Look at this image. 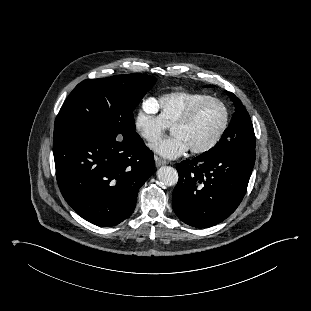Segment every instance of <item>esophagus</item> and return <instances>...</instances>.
<instances>
[{"instance_id":"34e87169","label":"esophagus","mask_w":311,"mask_h":311,"mask_svg":"<svg viewBox=\"0 0 311 311\" xmlns=\"http://www.w3.org/2000/svg\"><path fill=\"white\" fill-rule=\"evenodd\" d=\"M167 163L168 162L166 160H163V159L155 156V164H156L157 167H160V166L165 165Z\"/></svg>"}]
</instances>
